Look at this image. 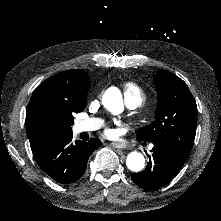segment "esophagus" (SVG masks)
I'll return each mask as SVG.
<instances>
[{
  "label": "esophagus",
  "mask_w": 221,
  "mask_h": 221,
  "mask_svg": "<svg viewBox=\"0 0 221 221\" xmlns=\"http://www.w3.org/2000/svg\"><path fill=\"white\" fill-rule=\"evenodd\" d=\"M109 146L113 148L125 149L127 146L125 144H120L118 142H110Z\"/></svg>",
  "instance_id": "esophagus-1"
}]
</instances>
